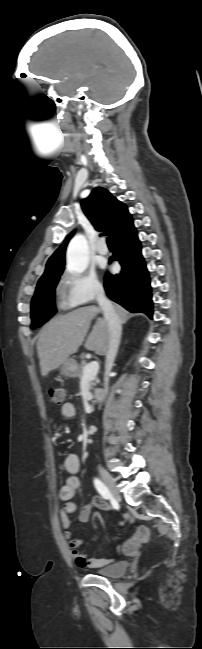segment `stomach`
I'll return each instance as SVG.
<instances>
[{
  "label": "stomach",
  "instance_id": "obj_1",
  "mask_svg": "<svg viewBox=\"0 0 202 649\" xmlns=\"http://www.w3.org/2000/svg\"><path fill=\"white\" fill-rule=\"evenodd\" d=\"M78 365L73 358H68L62 365L61 374L68 377H75Z\"/></svg>",
  "mask_w": 202,
  "mask_h": 649
}]
</instances>
